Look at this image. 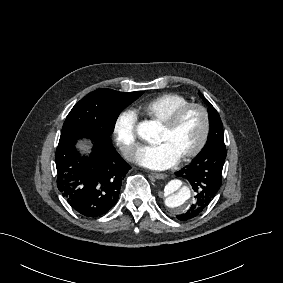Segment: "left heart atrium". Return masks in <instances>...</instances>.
<instances>
[{
  "label": "left heart atrium",
  "mask_w": 283,
  "mask_h": 283,
  "mask_svg": "<svg viewBox=\"0 0 283 283\" xmlns=\"http://www.w3.org/2000/svg\"><path fill=\"white\" fill-rule=\"evenodd\" d=\"M180 157L167 143H157L155 145L140 148L135 156L136 163L149 170H165L179 161Z\"/></svg>",
  "instance_id": "obj_1"
}]
</instances>
